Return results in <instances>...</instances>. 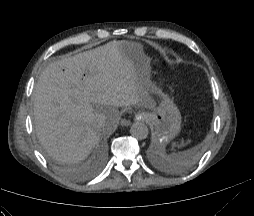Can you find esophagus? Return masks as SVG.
Instances as JSON below:
<instances>
[{"mask_svg":"<svg viewBox=\"0 0 254 216\" xmlns=\"http://www.w3.org/2000/svg\"><path fill=\"white\" fill-rule=\"evenodd\" d=\"M138 119H139V120H144V119H145V114L139 113V114H138ZM121 125H122V126H129V125H130V122H129L128 120H126V119H123V120L121 121Z\"/></svg>","mask_w":254,"mask_h":216,"instance_id":"1","label":"esophagus"}]
</instances>
